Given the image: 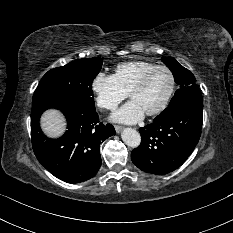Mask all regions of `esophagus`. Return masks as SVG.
<instances>
[{"instance_id": "1", "label": "esophagus", "mask_w": 233, "mask_h": 233, "mask_svg": "<svg viewBox=\"0 0 233 233\" xmlns=\"http://www.w3.org/2000/svg\"><path fill=\"white\" fill-rule=\"evenodd\" d=\"M122 126H119V125H115V130L117 133H120L122 131Z\"/></svg>"}]
</instances>
